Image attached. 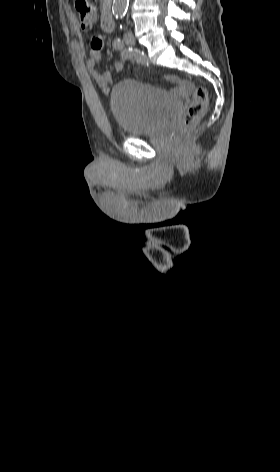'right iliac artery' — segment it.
Wrapping results in <instances>:
<instances>
[{"label": "right iliac artery", "mask_w": 280, "mask_h": 472, "mask_svg": "<svg viewBox=\"0 0 280 472\" xmlns=\"http://www.w3.org/2000/svg\"><path fill=\"white\" fill-rule=\"evenodd\" d=\"M122 55L130 60L136 61L137 63L148 66L149 65V60L146 57V55L138 50V49H133V48H127L122 51Z\"/></svg>", "instance_id": "right-iliac-artery-1"}]
</instances>
